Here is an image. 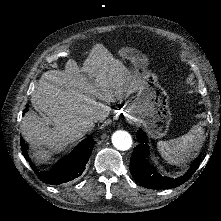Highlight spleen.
Masks as SVG:
<instances>
[{
  "instance_id": "1",
  "label": "spleen",
  "mask_w": 221,
  "mask_h": 221,
  "mask_svg": "<svg viewBox=\"0 0 221 221\" xmlns=\"http://www.w3.org/2000/svg\"><path fill=\"white\" fill-rule=\"evenodd\" d=\"M203 129L195 126L187 134L171 139L169 141H159L158 149L162 155L171 164H181L186 162L191 153L197 150L203 141Z\"/></svg>"
}]
</instances>
